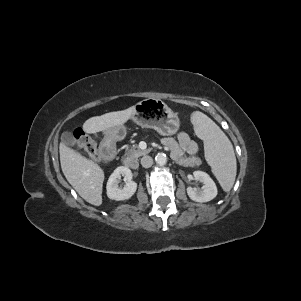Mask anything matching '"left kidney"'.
Here are the masks:
<instances>
[{
  "mask_svg": "<svg viewBox=\"0 0 301 301\" xmlns=\"http://www.w3.org/2000/svg\"><path fill=\"white\" fill-rule=\"evenodd\" d=\"M194 179L202 182L201 189L188 187L187 194L189 198L196 202H208L217 196V187L213 179L205 172L194 171Z\"/></svg>",
  "mask_w": 301,
  "mask_h": 301,
  "instance_id": "5707ae66",
  "label": "left kidney"
}]
</instances>
